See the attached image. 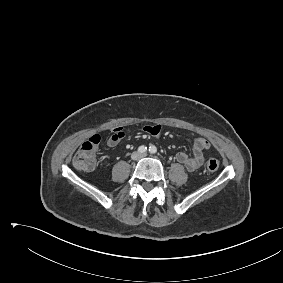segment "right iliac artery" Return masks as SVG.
<instances>
[{"mask_svg":"<svg viewBox=\"0 0 283 283\" xmlns=\"http://www.w3.org/2000/svg\"><path fill=\"white\" fill-rule=\"evenodd\" d=\"M138 151H139L140 153H145V152L147 151V147L144 146V145H142V146H140V147L138 148Z\"/></svg>","mask_w":283,"mask_h":283,"instance_id":"1","label":"right iliac artery"}]
</instances>
